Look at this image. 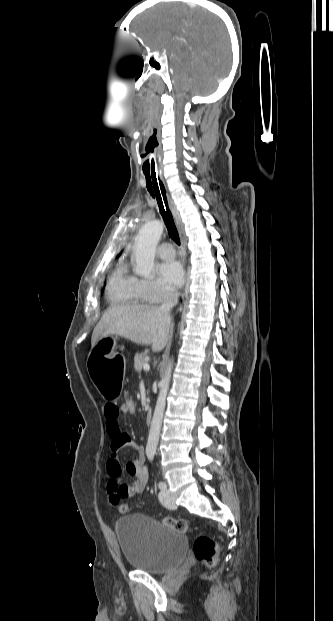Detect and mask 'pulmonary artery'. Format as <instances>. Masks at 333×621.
I'll list each match as a JSON object with an SVG mask.
<instances>
[{
  "label": "pulmonary artery",
  "mask_w": 333,
  "mask_h": 621,
  "mask_svg": "<svg viewBox=\"0 0 333 621\" xmlns=\"http://www.w3.org/2000/svg\"><path fill=\"white\" fill-rule=\"evenodd\" d=\"M157 254L162 259H172L174 258L175 251H174L173 246L169 242H164L158 246Z\"/></svg>",
  "instance_id": "obj_1"
}]
</instances>
